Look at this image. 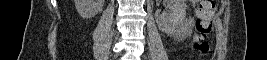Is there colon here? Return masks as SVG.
Wrapping results in <instances>:
<instances>
[{"label":"colon","instance_id":"5ec220e1","mask_svg":"<svg viewBox=\"0 0 267 60\" xmlns=\"http://www.w3.org/2000/svg\"><path fill=\"white\" fill-rule=\"evenodd\" d=\"M216 10L215 0L198 1L196 8V36L194 38V50L200 54L209 52L208 38L212 31V18Z\"/></svg>","mask_w":267,"mask_h":60}]
</instances>
